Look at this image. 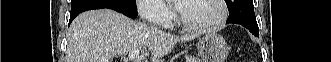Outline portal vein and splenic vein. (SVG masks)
<instances>
[{"mask_svg":"<svg viewBox=\"0 0 331 62\" xmlns=\"http://www.w3.org/2000/svg\"><path fill=\"white\" fill-rule=\"evenodd\" d=\"M139 49L133 48L129 51V60L130 62H139L138 60Z\"/></svg>","mask_w":331,"mask_h":62,"instance_id":"1","label":"portal vein and splenic vein"}]
</instances>
